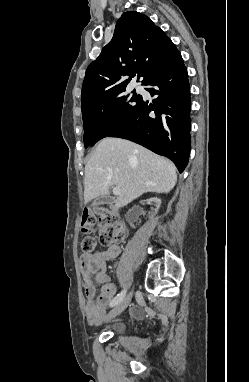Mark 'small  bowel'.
<instances>
[{"mask_svg": "<svg viewBox=\"0 0 249 382\" xmlns=\"http://www.w3.org/2000/svg\"><path fill=\"white\" fill-rule=\"evenodd\" d=\"M120 251V246L114 244L107 249L85 252L80 256L86 297L85 312L89 324H97L104 317L106 306L115 294L116 289L106 272V264L118 257ZM95 282L102 286V292L96 299H94Z\"/></svg>", "mask_w": 249, "mask_h": 382, "instance_id": "c3829d8e", "label": "small bowel"}]
</instances>
